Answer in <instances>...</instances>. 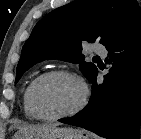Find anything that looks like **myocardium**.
I'll return each instance as SVG.
<instances>
[{"label": "myocardium", "instance_id": "myocardium-1", "mask_svg": "<svg viewBox=\"0 0 141 139\" xmlns=\"http://www.w3.org/2000/svg\"><path fill=\"white\" fill-rule=\"evenodd\" d=\"M54 76H64V77H69L76 80L79 83L81 88V97L79 102L72 109L60 114L48 115L43 113L38 107V104L36 101V90L42 81ZM88 98H89V89L84 78L80 76L79 74L70 70H66V69H54L39 75L37 78L33 80L29 88V94H28V101H29L31 110L37 116L38 119L45 120V121H56V120H60L63 118L76 115L86 106L88 102Z\"/></svg>", "mask_w": 141, "mask_h": 139}]
</instances>
